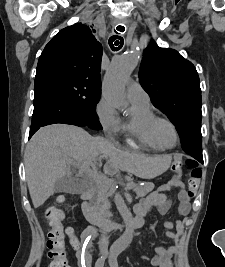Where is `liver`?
Segmentation results:
<instances>
[{
	"label": "liver",
	"mask_w": 225,
	"mask_h": 267,
	"mask_svg": "<svg viewBox=\"0 0 225 267\" xmlns=\"http://www.w3.org/2000/svg\"><path fill=\"white\" fill-rule=\"evenodd\" d=\"M103 158L109 159L106 172L114 168L140 177L147 176L144 164L149 159L122 152L112 143L99 141L82 128L67 124L40 128L31 138L24 155L26 180L34 208L43 205L54 193L58 179L70 174L71 167H77L74 162L85 163L86 170L91 172L88 166L101 165ZM99 178L102 177H96Z\"/></svg>",
	"instance_id": "1"
}]
</instances>
